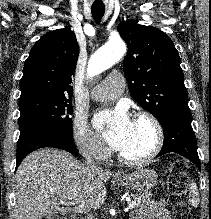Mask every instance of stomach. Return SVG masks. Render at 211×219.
Segmentation results:
<instances>
[{
    "instance_id": "0dacf381",
    "label": "stomach",
    "mask_w": 211,
    "mask_h": 219,
    "mask_svg": "<svg viewBox=\"0 0 211 219\" xmlns=\"http://www.w3.org/2000/svg\"><path fill=\"white\" fill-rule=\"evenodd\" d=\"M157 178L158 175L154 170L139 167L123 178H118V182L126 188L144 192L156 184Z\"/></svg>"
}]
</instances>
